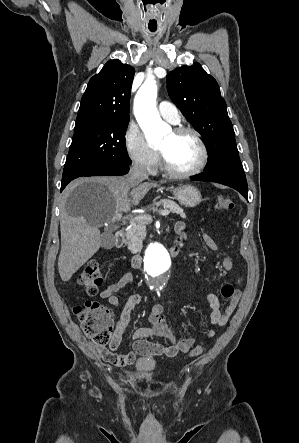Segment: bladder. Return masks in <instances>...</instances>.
<instances>
[{
    "mask_svg": "<svg viewBox=\"0 0 299 443\" xmlns=\"http://www.w3.org/2000/svg\"><path fill=\"white\" fill-rule=\"evenodd\" d=\"M156 366L157 360L155 358H144L134 364V370L137 374H146L154 370Z\"/></svg>",
    "mask_w": 299,
    "mask_h": 443,
    "instance_id": "obj_1",
    "label": "bladder"
}]
</instances>
